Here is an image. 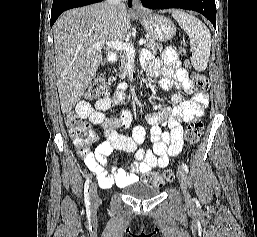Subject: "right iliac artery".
Segmentation results:
<instances>
[{
	"label": "right iliac artery",
	"mask_w": 257,
	"mask_h": 237,
	"mask_svg": "<svg viewBox=\"0 0 257 237\" xmlns=\"http://www.w3.org/2000/svg\"><path fill=\"white\" fill-rule=\"evenodd\" d=\"M90 178L88 177L85 186H84V199H85V204L88 206L90 204V194H89V184H90Z\"/></svg>",
	"instance_id": "obj_1"
}]
</instances>
